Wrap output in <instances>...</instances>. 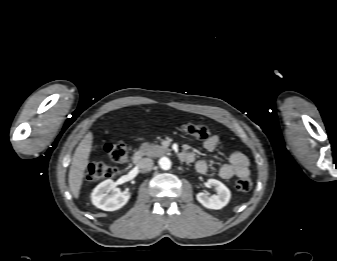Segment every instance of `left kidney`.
I'll return each instance as SVG.
<instances>
[{
    "instance_id": "5707ae66",
    "label": "left kidney",
    "mask_w": 337,
    "mask_h": 261,
    "mask_svg": "<svg viewBox=\"0 0 337 261\" xmlns=\"http://www.w3.org/2000/svg\"><path fill=\"white\" fill-rule=\"evenodd\" d=\"M208 185L217 191V195L208 197L205 193L200 192L196 195L198 202L208 209H221L226 206L231 198L230 190L220 181L209 179Z\"/></svg>"
}]
</instances>
